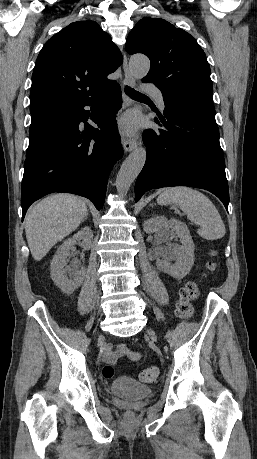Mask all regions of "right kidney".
Instances as JSON below:
<instances>
[{"label":"right kidney","instance_id":"1","mask_svg":"<svg viewBox=\"0 0 257 459\" xmlns=\"http://www.w3.org/2000/svg\"><path fill=\"white\" fill-rule=\"evenodd\" d=\"M92 240V230L89 227H84L72 238L65 240L54 255L50 264L51 278L62 292L66 294L73 293L82 284L85 276L83 268L79 269L75 264L67 266V256L70 250L80 241H82V247L88 250L91 248ZM67 273H69V276Z\"/></svg>","mask_w":257,"mask_h":459}]
</instances>
